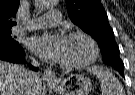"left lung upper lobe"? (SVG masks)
<instances>
[{
  "instance_id": "5c2ea615",
  "label": "left lung upper lobe",
  "mask_w": 135,
  "mask_h": 95,
  "mask_svg": "<svg viewBox=\"0 0 135 95\" xmlns=\"http://www.w3.org/2000/svg\"><path fill=\"white\" fill-rule=\"evenodd\" d=\"M68 16L97 41L107 63H117L123 67L119 57V47L114 32L109 25L107 13L100 0H66Z\"/></svg>"
}]
</instances>
